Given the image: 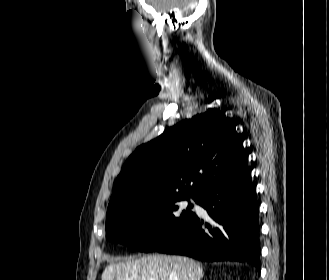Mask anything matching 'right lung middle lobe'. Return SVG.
Segmentation results:
<instances>
[{
    "label": "right lung middle lobe",
    "mask_w": 329,
    "mask_h": 280,
    "mask_svg": "<svg viewBox=\"0 0 329 280\" xmlns=\"http://www.w3.org/2000/svg\"><path fill=\"white\" fill-rule=\"evenodd\" d=\"M187 197L147 196L107 209L106 238L132 251L152 252L175 238L195 213ZM197 203L198 197L193 198Z\"/></svg>",
    "instance_id": "obj_1"
}]
</instances>
